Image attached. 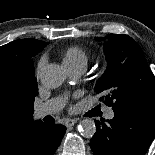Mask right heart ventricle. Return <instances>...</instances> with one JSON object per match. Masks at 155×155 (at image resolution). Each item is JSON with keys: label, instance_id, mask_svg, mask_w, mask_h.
Instances as JSON below:
<instances>
[{"label": "right heart ventricle", "instance_id": "right-heart-ventricle-1", "mask_svg": "<svg viewBox=\"0 0 155 155\" xmlns=\"http://www.w3.org/2000/svg\"><path fill=\"white\" fill-rule=\"evenodd\" d=\"M63 62L67 67L85 65L88 63V55L86 51L78 46L70 47L66 50Z\"/></svg>", "mask_w": 155, "mask_h": 155}]
</instances>
